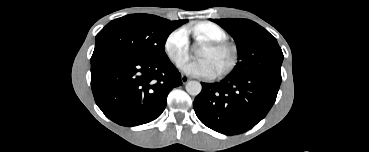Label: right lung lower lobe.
I'll return each mask as SVG.
<instances>
[{
    "label": "right lung lower lobe",
    "mask_w": 369,
    "mask_h": 152,
    "mask_svg": "<svg viewBox=\"0 0 369 152\" xmlns=\"http://www.w3.org/2000/svg\"><path fill=\"white\" fill-rule=\"evenodd\" d=\"M182 84L181 74L167 58L141 60L111 56L91 63L95 102L115 123L132 127L161 115L169 92Z\"/></svg>",
    "instance_id": "right-lung-lower-lobe-1"
}]
</instances>
